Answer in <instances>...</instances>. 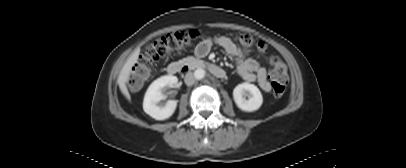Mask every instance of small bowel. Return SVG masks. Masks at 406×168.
<instances>
[{"instance_id":"small-bowel-1","label":"small bowel","mask_w":406,"mask_h":168,"mask_svg":"<svg viewBox=\"0 0 406 168\" xmlns=\"http://www.w3.org/2000/svg\"><path fill=\"white\" fill-rule=\"evenodd\" d=\"M213 45L220 46L235 59L237 73L242 79L247 82H257L265 92L271 90L266 70L260 66L257 60L246 57L242 50L228 37L220 36L204 40L196 47L195 54L198 57H204Z\"/></svg>"}]
</instances>
